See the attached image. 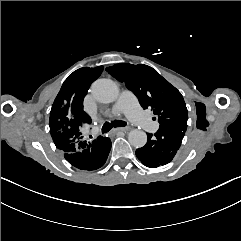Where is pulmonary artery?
Wrapping results in <instances>:
<instances>
[{
    "instance_id": "e3ab8cb5",
    "label": "pulmonary artery",
    "mask_w": 241,
    "mask_h": 241,
    "mask_svg": "<svg viewBox=\"0 0 241 241\" xmlns=\"http://www.w3.org/2000/svg\"><path fill=\"white\" fill-rule=\"evenodd\" d=\"M116 107H121L124 114L134 123H138L140 128L145 130L147 134L153 135L158 132V123L147 116V110L138 103V99L132 93L123 91L120 100L116 103Z\"/></svg>"
}]
</instances>
